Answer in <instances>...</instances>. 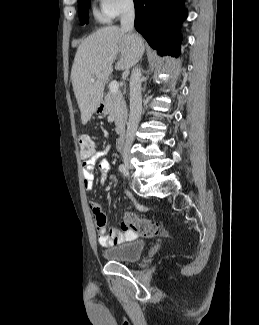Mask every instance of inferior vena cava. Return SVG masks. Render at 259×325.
Masks as SVG:
<instances>
[{"instance_id":"obj_1","label":"inferior vena cava","mask_w":259,"mask_h":325,"mask_svg":"<svg viewBox=\"0 0 259 325\" xmlns=\"http://www.w3.org/2000/svg\"><path fill=\"white\" fill-rule=\"evenodd\" d=\"M134 5L133 0H126L122 7L121 30L132 32L134 28ZM142 113V94H141V70L135 67L132 71L130 81V113L127 124L125 152L129 151Z\"/></svg>"}]
</instances>
